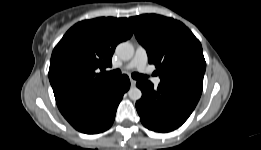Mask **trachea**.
Here are the masks:
<instances>
[{"label":"trachea","instance_id":"1","mask_svg":"<svg viewBox=\"0 0 261 150\" xmlns=\"http://www.w3.org/2000/svg\"><path fill=\"white\" fill-rule=\"evenodd\" d=\"M105 75L112 76V77H118V76L121 75V71L119 69H116V70H113V71H110V72H106ZM132 77L134 79H137V80H142V79L147 78V76L136 73V72L132 73Z\"/></svg>","mask_w":261,"mask_h":150}]
</instances>
